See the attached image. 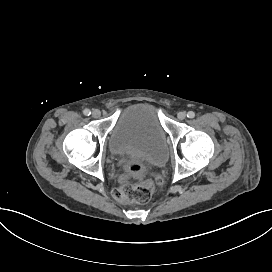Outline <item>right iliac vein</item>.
Wrapping results in <instances>:
<instances>
[{"label":"right iliac vein","instance_id":"63e3f726","mask_svg":"<svg viewBox=\"0 0 272 272\" xmlns=\"http://www.w3.org/2000/svg\"><path fill=\"white\" fill-rule=\"evenodd\" d=\"M92 116H93L94 118L100 117V116H101L100 110L94 109V110L92 111Z\"/></svg>","mask_w":272,"mask_h":272}]
</instances>
